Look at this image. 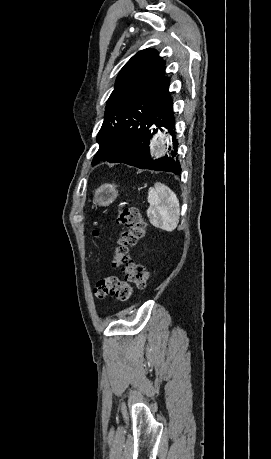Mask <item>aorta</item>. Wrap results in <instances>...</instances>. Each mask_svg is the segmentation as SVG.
Here are the masks:
<instances>
[{"label":"aorta","instance_id":"762f6f07","mask_svg":"<svg viewBox=\"0 0 271 459\" xmlns=\"http://www.w3.org/2000/svg\"><path fill=\"white\" fill-rule=\"evenodd\" d=\"M156 144L152 150V155L159 157L168 153L169 139L162 133L156 136Z\"/></svg>","mask_w":271,"mask_h":459}]
</instances>
